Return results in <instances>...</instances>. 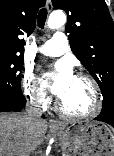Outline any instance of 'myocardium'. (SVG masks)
I'll use <instances>...</instances> for the list:
<instances>
[{
	"instance_id": "obj_1",
	"label": "myocardium",
	"mask_w": 114,
	"mask_h": 156,
	"mask_svg": "<svg viewBox=\"0 0 114 156\" xmlns=\"http://www.w3.org/2000/svg\"><path fill=\"white\" fill-rule=\"evenodd\" d=\"M75 77L85 79L91 85L93 93H94L93 108L89 112L84 113V114H72L63 108L60 99H58L56 102V111L61 116L68 118V119H72V120H85V119L93 118L101 111V108H102V95H101L99 84L97 83V81L92 75L86 72H79L75 75Z\"/></svg>"
}]
</instances>
